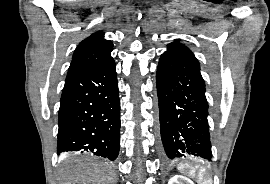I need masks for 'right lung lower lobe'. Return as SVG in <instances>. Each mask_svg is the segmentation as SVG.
Masks as SVG:
<instances>
[{
  "label": "right lung lower lobe",
  "mask_w": 270,
  "mask_h": 184,
  "mask_svg": "<svg viewBox=\"0 0 270 184\" xmlns=\"http://www.w3.org/2000/svg\"><path fill=\"white\" fill-rule=\"evenodd\" d=\"M57 154L88 151L115 160L120 101L115 62L67 75L59 109Z\"/></svg>",
  "instance_id": "98d812e1"
}]
</instances>
